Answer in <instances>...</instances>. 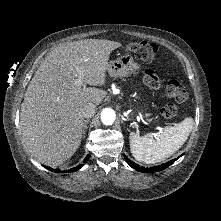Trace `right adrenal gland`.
<instances>
[{"instance_id":"obj_1","label":"right adrenal gland","mask_w":221,"mask_h":221,"mask_svg":"<svg viewBox=\"0 0 221 221\" xmlns=\"http://www.w3.org/2000/svg\"><path fill=\"white\" fill-rule=\"evenodd\" d=\"M89 121H90L89 119L84 120L83 132H82L83 138L85 137L86 130H87V125H88Z\"/></svg>"}]
</instances>
